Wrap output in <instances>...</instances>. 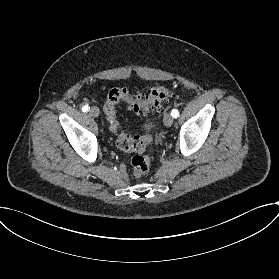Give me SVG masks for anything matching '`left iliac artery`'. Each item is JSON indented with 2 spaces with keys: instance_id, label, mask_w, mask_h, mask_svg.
Here are the masks:
<instances>
[{
  "instance_id": "obj_1",
  "label": "left iliac artery",
  "mask_w": 279,
  "mask_h": 279,
  "mask_svg": "<svg viewBox=\"0 0 279 279\" xmlns=\"http://www.w3.org/2000/svg\"><path fill=\"white\" fill-rule=\"evenodd\" d=\"M171 115H172L173 118H177L179 116L178 110L177 109H173L171 111Z\"/></svg>"
}]
</instances>
